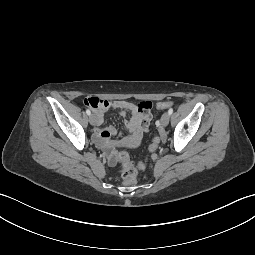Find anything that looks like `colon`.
<instances>
[{
    "label": "colon",
    "instance_id": "obj_1",
    "mask_svg": "<svg viewBox=\"0 0 255 255\" xmlns=\"http://www.w3.org/2000/svg\"><path fill=\"white\" fill-rule=\"evenodd\" d=\"M172 103L163 101L157 104L159 109H165L169 107ZM158 144V138H155L153 143L150 145V151H154ZM118 163L122 166L121 175L123 179V184L125 186H133L137 182L138 177V167L130 161L129 155L125 151H120L116 155ZM144 167V164H142Z\"/></svg>",
    "mask_w": 255,
    "mask_h": 255
}]
</instances>
